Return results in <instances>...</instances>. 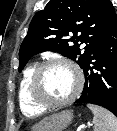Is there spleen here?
<instances>
[{
  "mask_svg": "<svg viewBox=\"0 0 117 131\" xmlns=\"http://www.w3.org/2000/svg\"><path fill=\"white\" fill-rule=\"evenodd\" d=\"M87 106L94 114V131H117V118L114 114L96 105Z\"/></svg>",
  "mask_w": 117,
  "mask_h": 131,
  "instance_id": "1",
  "label": "spleen"
}]
</instances>
